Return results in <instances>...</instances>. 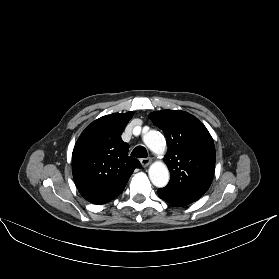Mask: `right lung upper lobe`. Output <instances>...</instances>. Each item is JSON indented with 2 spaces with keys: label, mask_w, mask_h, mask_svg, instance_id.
Listing matches in <instances>:
<instances>
[{
  "label": "right lung upper lobe",
  "mask_w": 279,
  "mask_h": 279,
  "mask_svg": "<svg viewBox=\"0 0 279 279\" xmlns=\"http://www.w3.org/2000/svg\"><path fill=\"white\" fill-rule=\"evenodd\" d=\"M133 113H114L92 122L77 140L72 172L80 194L101 205L117 197L140 162L128 156L129 145L121 134Z\"/></svg>",
  "instance_id": "1"
}]
</instances>
